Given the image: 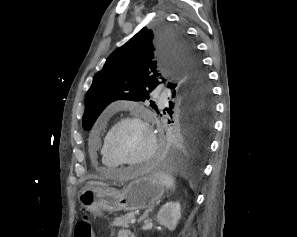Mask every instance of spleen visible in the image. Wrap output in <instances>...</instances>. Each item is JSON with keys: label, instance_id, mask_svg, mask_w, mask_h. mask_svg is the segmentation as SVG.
Returning <instances> with one entry per match:
<instances>
[{"label": "spleen", "instance_id": "1", "mask_svg": "<svg viewBox=\"0 0 297 237\" xmlns=\"http://www.w3.org/2000/svg\"><path fill=\"white\" fill-rule=\"evenodd\" d=\"M156 176L159 178L162 184H164L167 188H175V179L166 173H158Z\"/></svg>", "mask_w": 297, "mask_h": 237}]
</instances>
